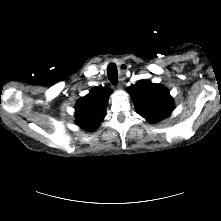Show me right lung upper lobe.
I'll list each match as a JSON object with an SVG mask.
<instances>
[{"mask_svg":"<svg viewBox=\"0 0 221 221\" xmlns=\"http://www.w3.org/2000/svg\"><path fill=\"white\" fill-rule=\"evenodd\" d=\"M110 89L98 86L76 103V123L82 129L95 130L105 116Z\"/></svg>","mask_w":221,"mask_h":221,"instance_id":"cb5924a9","label":"right lung upper lobe"}]
</instances>
